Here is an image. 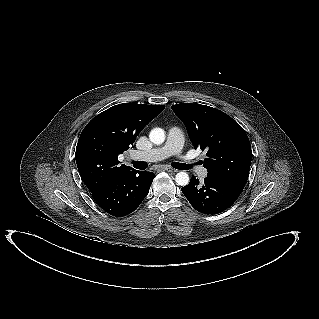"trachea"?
I'll use <instances>...</instances> for the list:
<instances>
[{
    "label": "trachea",
    "mask_w": 319,
    "mask_h": 319,
    "mask_svg": "<svg viewBox=\"0 0 319 319\" xmlns=\"http://www.w3.org/2000/svg\"><path fill=\"white\" fill-rule=\"evenodd\" d=\"M176 169H181V170H187L189 169L190 167L186 164H182V163H178V162H175L172 164ZM133 166L134 168L136 169H141V170H144L147 168V163L144 162V161H135L133 162Z\"/></svg>",
    "instance_id": "obj_1"
}]
</instances>
